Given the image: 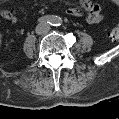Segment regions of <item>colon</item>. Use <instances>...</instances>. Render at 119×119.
<instances>
[{
  "label": "colon",
  "instance_id": "5ec220e1",
  "mask_svg": "<svg viewBox=\"0 0 119 119\" xmlns=\"http://www.w3.org/2000/svg\"><path fill=\"white\" fill-rule=\"evenodd\" d=\"M109 38L111 40H118L119 39V27L118 26H114L110 29L109 31Z\"/></svg>",
  "mask_w": 119,
  "mask_h": 119
}]
</instances>
